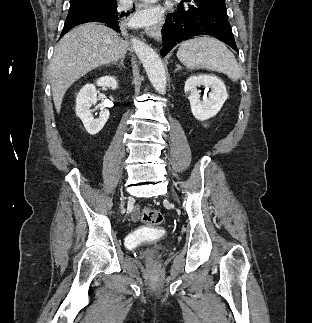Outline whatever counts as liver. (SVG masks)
I'll use <instances>...</instances> for the list:
<instances>
[{
	"label": "liver",
	"instance_id": "1",
	"mask_svg": "<svg viewBox=\"0 0 312 323\" xmlns=\"http://www.w3.org/2000/svg\"><path fill=\"white\" fill-rule=\"evenodd\" d=\"M128 44L99 22L81 24L61 38L50 62L52 96L57 114L70 86L99 66L125 58Z\"/></svg>",
	"mask_w": 312,
	"mask_h": 323
}]
</instances>
